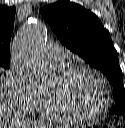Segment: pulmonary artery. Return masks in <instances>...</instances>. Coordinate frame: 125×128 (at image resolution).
I'll list each match as a JSON object with an SVG mask.
<instances>
[{
    "label": "pulmonary artery",
    "mask_w": 125,
    "mask_h": 128,
    "mask_svg": "<svg viewBox=\"0 0 125 128\" xmlns=\"http://www.w3.org/2000/svg\"><path fill=\"white\" fill-rule=\"evenodd\" d=\"M43 55L50 65L61 68L64 65L67 51L58 45H48Z\"/></svg>",
    "instance_id": "1"
}]
</instances>
